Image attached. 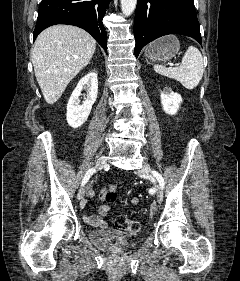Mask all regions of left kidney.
I'll return each mask as SVG.
<instances>
[{
  "mask_svg": "<svg viewBox=\"0 0 240 281\" xmlns=\"http://www.w3.org/2000/svg\"><path fill=\"white\" fill-rule=\"evenodd\" d=\"M181 102L182 97L178 93L173 92L170 88H165V90L161 92V104L166 114L175 115Z\"/></svg>",
  "mask_w": 240,
  "mask_h": 281,
  "instance_id": "1",
  "label": "left kidney"
}]
</instances>
